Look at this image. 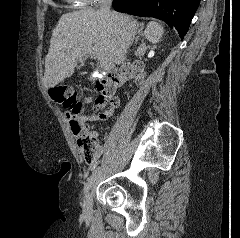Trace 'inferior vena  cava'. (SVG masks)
Instances as JSON below:
<instances>
[{
    "mask_svg": "<svg viewBox=\"0 0 240 238\" xmlns=\"http://www.w3.org/2000/svg\"><path fill=\"white\" fill-rule=\"evenodd\" d=\"M113 0H99L100 3V13L108 16L114 17L115 15L111 12L110 8L112 5ZM135 38V30H132L127 35V46L129 47Z\"/></svg>",
    "mask_w": 240,
    "mask_h": 238,
    "instance_id": "obj_1",
    "label": "inferior vena cava"
}]
</instances>
